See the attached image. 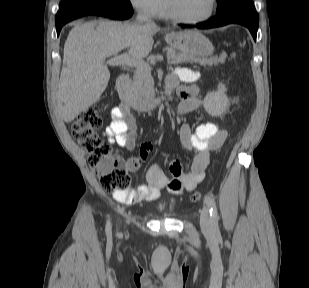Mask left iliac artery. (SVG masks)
<instances>
[{"label": "left iliac artery", "instance_id": "left-iliac-artery-1", "mask_svg": "<svg viewBox=\"0 0 309 288\" xmlns=\"http://www.w3.org/2000/svg\"><path fill=\"white\" fill-rule=\"evenodd\" d=\"M204 202L206 203V205L208 206L210 210V215L212 217L214 230L216 231L218 230V211H217L215 201L210 197H205Z\"/></svg>", "mask_w": 309, "mask_h": 288}]
</instances>
